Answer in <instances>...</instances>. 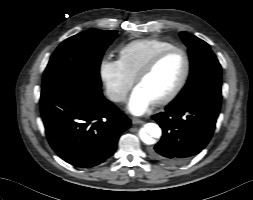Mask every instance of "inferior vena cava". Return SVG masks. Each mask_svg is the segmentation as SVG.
<instances>
[{
	"label": "inferior vena cava",
	"instance_id": "602c4592",
	"mask_svg": "<svg viewBox=\"0 0 253 200\" xmlns=\"http://www.w3.org/2000/svg\"><path fill=\"white\" fill-rule=\"evenodd\" d=\"M111 100L113 101H125L126 100V94L125 93H112L110 95Z\"/></svg>",
	"mask_w": 253,
	"mask_h": 200
}]
</instances>
